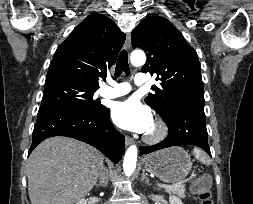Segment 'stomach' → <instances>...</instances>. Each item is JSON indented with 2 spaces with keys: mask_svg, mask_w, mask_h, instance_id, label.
Listing matches in <instances>:
<instances>
[{
  "mask_svg": "<svg viewBox=\"0 0 253 204\" xmlns=\"http://www.w3.org/2000/svg\"><path fill=\"white\" fill-rule=\"evenodd\" d=\"M144 168L163 182L175 183L187 177L192 162L182 147H171L146 156Z\"/></svg>",
  "mask_w": 253,
  "mask_h": 204,
  "instance_id": "1",
  "label": "stomach"
}]
</instances>
